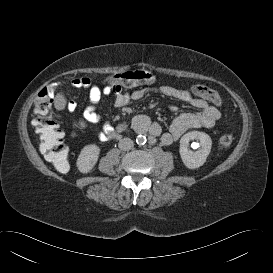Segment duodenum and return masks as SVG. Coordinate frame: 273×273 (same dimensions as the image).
<instances>
[{"instance_id": "obj_1", "label": "duodenum", "mask_w": 273, "mask_h": 273, "mask_svg": "<svg viewBox=\"0 0 273 273\" xmlns=\"http://www.w3.org/2000/svg\"><path fill=\"white\" fill-rule=\"evenodd\" d=\"M124 131V125H118L114 130L109 131L108 136L115 137L122 134Z\"/></svg>"}]
</instances>
